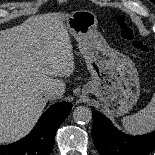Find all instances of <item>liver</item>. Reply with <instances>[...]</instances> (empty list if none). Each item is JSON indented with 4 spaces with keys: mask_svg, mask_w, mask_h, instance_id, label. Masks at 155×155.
I'll use <instances>...</instances> for the list:
<instances>
[{
    "mask_svg": "<svg viewBox=\"0 0 155 155\" xmlns=\"http://www.w3.org/2000/svg\"><path fill=\"white\" fill-rule=\"evenodd\" d=\"M66 16L49 13L29 17L0 31V144L30 132L48 99V87L65 91L54 77L70 76L74 58Z\"/></svg>",
    "mask_w": 155,
    "mask_h": 155,
    "instance_id": "6515ba94",
    "label": "liver"
}]
</instances>
